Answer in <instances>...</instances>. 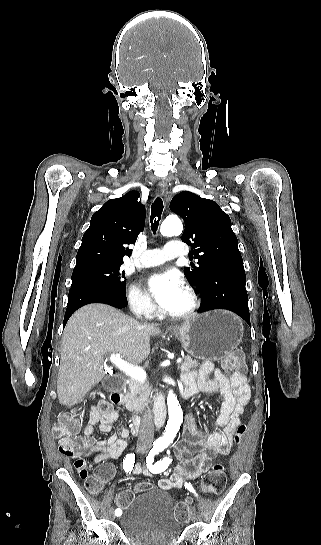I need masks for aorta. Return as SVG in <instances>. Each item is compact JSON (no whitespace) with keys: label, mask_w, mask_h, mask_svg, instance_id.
Wrapping results in <instances>:
<instances>
[{"label":"aorta","mask_w":321,"mask_h":545,"mask_svg":"<svg viewBox=\"0 0 321 545\" xmlns=\"http://www.w3.org/2000/svg\"><path fill=\"white\" fill-rule=\"evenodd\" d=\"M183 224L178 218H168L163 221L160 227V233L163 236L172 237L182 233ZM169 419L164 435L159 441L164 445H169L175 438L180 425L183 421V412L180 407L177 397L172 391H169L167 396Z\"/></svg>","instance_id":"obj_1"}]
</instances>
